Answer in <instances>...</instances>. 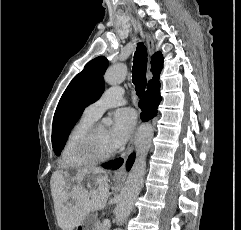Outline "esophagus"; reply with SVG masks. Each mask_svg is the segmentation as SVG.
<instances>
[{
	"label": "esophagus",
	"instance_id": "esophagus-1",
	"mask_svg": "<svg viewBox=\"0 0 241 230\" xmlns=\"http://www.w3.org/2000/svg\"><path fill=\"white\" fill-rule=\"evenodd\" d=\"M146 42H147V47H148V51L150 54H152L154 52V42L152 40V38L148 35H146ZM134 147V136L131 137L130 142L128 144V147L126 149V151L123 153L122 157L124 160L127 159V157L129 156V154L132 152ZM125 173V164H123L116 172H115V176H121Z\"/></svg>",
	"mask_w": 241,
	"mask_h": 230
}]
</instances>
